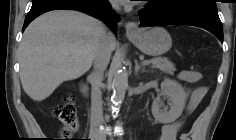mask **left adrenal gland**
I'll use <instances>...</instances> for the list:
<instances>
[{
    "label": "left adrenal gland",
    "mask_w": 236,
    "mask_h": 140,
    "mask_svg": "<svg viewBox=\"0 0 236 140\" xmlns=\"http://www.w3.org/2000/svg\"><path fill=\"white\" fill-rule=\"evenodd\" d=\"M139 71L146 72L147 70L145 69V66L139 65L138 61L136 60L135 61V74L137 75Z\"/></svg>",
    "instance_id": "a2214340"
}]
</instances>
